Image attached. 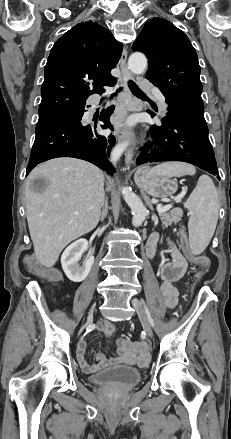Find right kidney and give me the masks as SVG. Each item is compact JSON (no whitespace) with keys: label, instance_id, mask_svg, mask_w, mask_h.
I'll return each mask as SVG.
<instances>
[{"label":"right kidney","instance_id":"right-kidney-1","mask_svg":"<svg viewBox=\"0 0 231 439\" xmlns=\"http://www.w3.org/2000/svg\"><path fill=\"white\" fill-rule=\"evenodd\" d=\"M88 248L86 239L81 238L70 244L61 256V264L63 271L68 279L73 282L83 281L89 274L94 263V256L88 254L87 259L80 266L78 263L81 259L82 253Z\"/></svg>","mask_w":231,"mask_h":439}]
</instances>
